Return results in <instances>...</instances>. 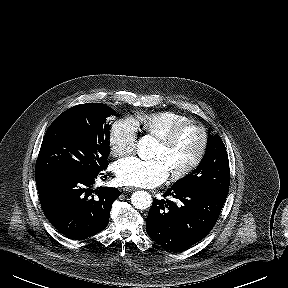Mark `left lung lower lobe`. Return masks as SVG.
<instances>
[{
	"label": "left lung lower lobe",
	"mask_w": 288,
	"mask_h": 288,
	"mask_svg": "<svg viewBox=\"0 0 288 288\" xmlns=\"http://www.w3.org/2000/svg\"><path fill=\"white\" fill-rule=\"evenodd\" d=\"M170 199H154L146 220L148 235L164 248L180 251L202 240L214 227L226 198L172 186Z\"/></svg>",
	"instance_id": "left-lung-lower-lobe-1"
}]
</instances>
